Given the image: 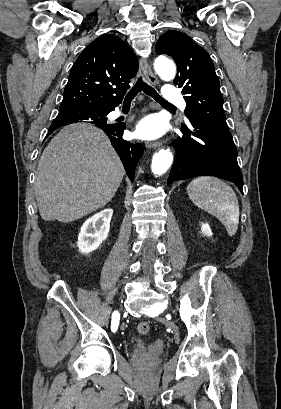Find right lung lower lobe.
<instances>
[{
	"label": "right lung lower lobe",
	"instance_id": "obj_1",
	"mask_svg": "<svg viewBox=\"0 0 281 409\" xmlns=\"http://www.w3.org/2000/svg\"><path fill=\"white\" fill-rule=\"evenodd\" d=\"M115 108L107 110L100 108H69L60 109L59 117H76V118H88L98 128H101L107 136L110 138L112 146L117 151L120 159L125 167L126 173L131 181L134 180L135 167L138 159L143 154V147L140 144H131L128 141L122 139L123 130L126 128L125 123H107V114L113 111ZM54 131V130H53ZM53 131L49 130V134Z\"/></svg>",
	"mask_w": 281,
	"mask_h": 409
}]
</instances>
